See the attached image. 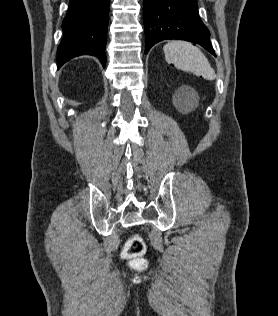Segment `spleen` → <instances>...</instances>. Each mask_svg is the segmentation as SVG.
<instances>
[{
	"label": "spleen",
	"instance_id": "3e777b00",
	"mask_svg": "<svg viewBox=\"0 0 278 316\" xmlns=\"http://www.w3.org/2000/svg\"><path fill=\"white\" fill-rule=\"evenodd\" d=\"M165 59L178 69L213 80L216 75L202 51L186 41H171L163 47Z\"/></svg>",
	"mask_w": 278,
	"mask_h": 316
}]
</instances>
